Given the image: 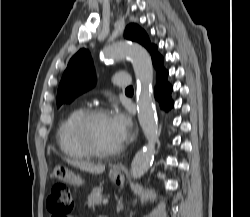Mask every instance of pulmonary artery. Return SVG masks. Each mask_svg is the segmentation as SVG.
I'll return each mask as SVG.
<instances>
[{
  "instance_id": "e3ab8cb5",
  "label": "pulmonary artery",
  "mask_w": 250,
  "mask_h": 217,
  "mask_svg": "<svg viewBox=\"0 0 250 217\" xmlns=\"http://www.w3.org/2000/svg\"><path fill=\"white\" fill-rule=\"evenodd\" d=\"M131 80L126 73H116L113 76V84L119 88H125L129 86Z\"/></svg>"
}]
</instances>
